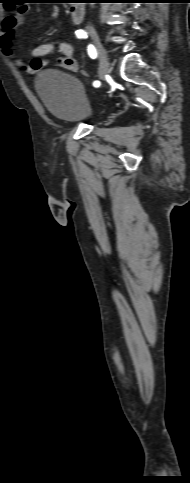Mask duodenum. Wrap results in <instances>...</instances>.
Instances as JSON below:
<instances>
[{
  "instance_id": "obj_1",
  "label": "duodenum",
  "mask_w": 190,
  "mask_h": 483,
  "mask_svg": "<svg viewBox=\"0 0 190 483\" xmlns=\"http://www.w3.org/2000/svg\"><path fill=\"white\" fill-rule=\"evenodd\" d=\"M85 1L84 0H74L72 2L70 13H71V20L73 23H79L84 18L85 13Z\"/></svg>"
}]
</instances>
